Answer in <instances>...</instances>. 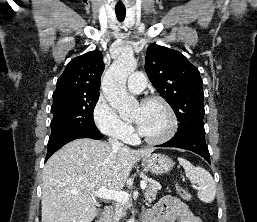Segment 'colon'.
Masks as SVG:
<instances>
[{
  "label": "colon",
  "mask_w": 257,
  "mask_h": 222,
  "mask_svg": "<svg viewBox=\"0 0 257 222\" xmlns=\"http://www.w3.org/2000/svg\"><path fill=\"white\" fill-rule=\"evenodd\" d=\"M178 192H179L180 196L183 197L184 199L188 200L191 198L190 193L183 187H179Z\"/></svg>",
  "instance_id": "colon-1"
}]
</instances>
